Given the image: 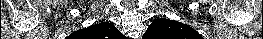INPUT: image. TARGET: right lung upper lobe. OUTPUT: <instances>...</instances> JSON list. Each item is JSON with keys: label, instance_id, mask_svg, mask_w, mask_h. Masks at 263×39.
<instances>
[{"label": "right lung upper lobe", "instance_id": "right-lung-upper-lobe-1", "mask_svg": "<svg viewBox=\"0 0 263 39\" xmlns=\"http://www.w3.org/2000/svg\"><path fill=\"white\" fill-rule=\"evenodd\" d=\"M85 39H121L124 36L112 23H99L79 31Z\"/></svg>", "mask_w": 263, "mask_h": 39}]
</instances>
